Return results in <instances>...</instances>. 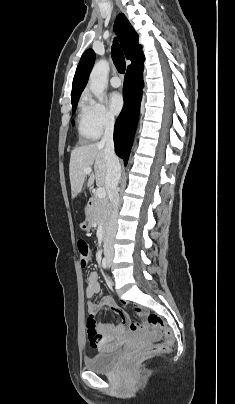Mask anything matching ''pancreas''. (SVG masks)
Listing matches in <instances>:
<instances>
[{
  "label": "pancreas",
  "instance_id": "1",
  "mask_svg": "<svg viewBox=\"0 0 235 404\" xmlns=\"http://www.w3.org/2000/svg\"><path fill=\"white\" fill-rule=\"evenodd\" d=\"M110 212V206L106 198L94 197L92 210H91V221L93 224H102L105 227L108 216Z\"/></svg>",
  "mask_w": 235,
  "mask_h": 404
}]
</instances>
